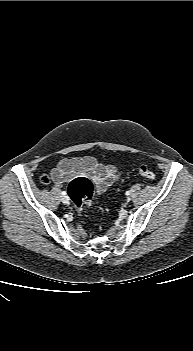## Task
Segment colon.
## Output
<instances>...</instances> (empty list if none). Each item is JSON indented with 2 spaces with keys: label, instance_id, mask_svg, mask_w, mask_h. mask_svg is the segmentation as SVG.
I'll use <instances>...</instances> for the list:
<instances>
[{
  "label": "colon",
  "instance_id": "obj_1",
  "mask_svg": "<svg viewBox=\"0 0 193 351\" xmlns=\"http://www.w3.org/2000/svg\"><path fill=\"white\" fill-rule=\"evenodd\" d=\"M138 173L142 178L147 180H154L156 177L155 172L146 165H141L138 168ZM47 181L46 177L42 178L43 183H46ZM67 191L74 208L78 213H81L84 207L91 204L94 185L87 177H76L69 182Z\"/></svg>",
  "mask_w": 193,
  "mask_h": 351
}]
</instances>
